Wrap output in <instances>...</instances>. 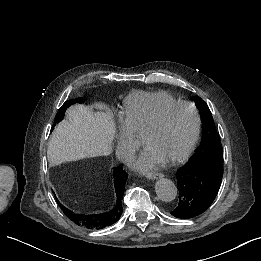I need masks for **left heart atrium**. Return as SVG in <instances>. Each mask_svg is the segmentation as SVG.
I'll list each match as a JSON object with an SVG mask.
<instances>
[{
  "label": "left heart atrium",
  "mask_w": 261,
  "mask_h": 261,
  "mask_svg": "<svg viewBox=\"0 0 261 261\" xmlns=\"http://www.w3.org/2000/svg\"><path fill=\"white\" fill-rule=\"evenodd\" d=\"M135 146L140 149L139 155L133 160V167L136 170L147 171L159 163L160 157L146 143L137 139Z\"/></svg>",
  "instance_id": "39dd6f15"
}]
</instances>
